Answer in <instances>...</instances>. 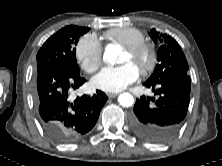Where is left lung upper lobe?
<instances>
[{"label":"left lung upper lobe","instance_id":"obj_1","mask_svg":"<svg viewBox=\"0 0 222 166\" xmlns=\"http://www.w3.org/2000/svg\"><path fill=\"white\" fill-rule=\"evenodd\" d=\"M150 36L159 45L158 64L147 80V82H157L168 76L188 75V63L185 55L171 36L159 34L155 29L150 31Z\"/></svg>","mask_w":222,"mask_h":166}]
</instances>
